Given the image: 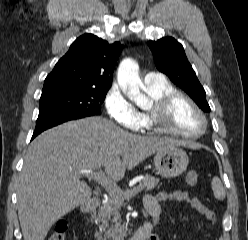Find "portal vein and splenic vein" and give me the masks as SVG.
Masks as SVG:
<instances>
[{
  "label": "portal vein and splenic vein",
  "mask_w": 248,
  "mask_h": 240,
  "mask_svg": "<svg viewBox=\"0 0 248 240\" xmlns=\"http://www.w3.org/2000/svg\"><path fill=\"white\" fill-rule=\"evenodd\" d=\"M79 173L83 174V175H87V176L91 177L92 179H94L95 181H97L98 183H100L103 187L106 188V190L108 191V193L111 196L116 195L121 191L120 188L117 186V184L111 178L106 176L105 173L101 169H99L97 171H95V170H80ZM142 189H143V186L141 184H139V185L133 187L131 190L124 192L123 196H124V198H130L132 196H135L139 192H141Z\"/></svg>",
  "instance_id": "portal-vein-and-splenic-vein-1"
}]
</instances>
